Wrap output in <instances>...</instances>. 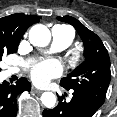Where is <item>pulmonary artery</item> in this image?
Returning <instances> with one entry per match:
<instances>
[{
	"instance_id": "e3ab8cb5",
	"label": "pulmonary artery",
	"mask_w": 117,
	"mask_h": 117,
	"mask_svg": "<svg viewBox=\"0 0 117 117\" xmlns=\"http://www.w3.org/2000/svg\"><path fill=\"white\" fill-rule=\"evenodd\" d=\"M53 36V50H62L68 47L73 39V31L69 28H62L60 26H54L52 29ZM15 72L14 69H10V73Z\"/></svg>"
}]
</instances>
